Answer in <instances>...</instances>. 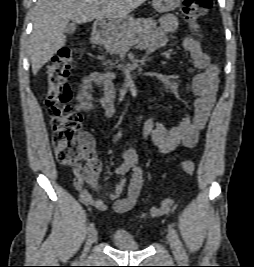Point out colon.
I'll return each instance as SVG.
<instances>
[{
  "instance_id": "5ec220e1",
  "label": "colon",
  "mask_w": 254,
  "mask_h": 267,
  "mask_svg": "<svg viewBox=\"0 0 254 267\" xmlns=\"http://www.w3.org/2000/svg\"><path fill=\"white\" fill-rule=\"evenodd\" d=\"M212 0H184L183 14L187 20L204 16L211 8ZM73 63L72 50L69 47L60 48L46 69L47 96L46 104L51 118L53 130L52 144L57 160L68 166H80L82 161H92L95 158L93 141L82 132V115L72 111L70 100L71 88L68 77ZM181 167L187 174L194 172V163L182 161ZM172 199L167 198L153 206L144 218H155L166 214L172 207Z\"/></svg>"
}]
</instances>
